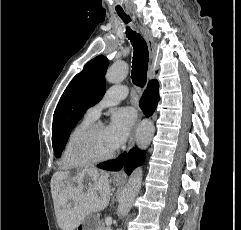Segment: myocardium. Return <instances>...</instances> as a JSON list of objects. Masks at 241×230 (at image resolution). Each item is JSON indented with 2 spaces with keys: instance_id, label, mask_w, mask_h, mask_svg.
Returning a JSON list of instances; mask_svg holds the SVG:
<instances>
[{
  "instance_id": "obj_1",
  "label": "myocardium",
  "mask_w": 241,
  "mask_h": 230,
  "mask_svg": "<svg viewBox=\"0 0 241 230\" xmlns=\"http://www.w3.org/2000/svg\"><path fill=\"white\" fill-rule=\"evenodd\" d=\"M103 124L98 121L90 123L77 137L74 143V156L76 160L84 165H91L107 161L115 156V150L104 155H95L91 150V141L96 130Z\"/></svg>"
}]
</instances>
